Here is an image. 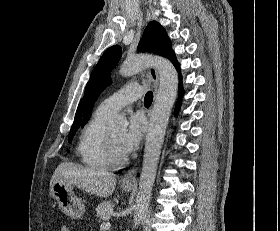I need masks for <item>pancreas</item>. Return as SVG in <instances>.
Listing matches in <instances>:
<instances>
[{
  "label": "pancreas",
  "instance_id": "cf45deb5",
  "mask_svg": "<svg viewBox=\"0 0 280 231\" xmlns=\"http://www.w3.org/2000/svg\"><path fill=\"white\" fill-rule=\"evenodd\" d=\"M113 207L114 203H112V201H101V203H99V205L96 207L99 221H101V219H107V217H110Z\"/></svg>",
  "mask_w": 280,
  "mask_h": 231
}]
</instances>
